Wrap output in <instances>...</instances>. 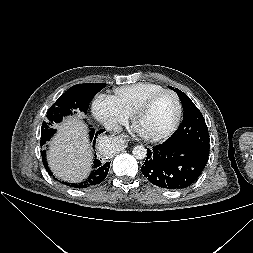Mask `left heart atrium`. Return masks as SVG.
<instances>
[{
    "instance_id": "39dd6f15",
    "label": "left heart atrium",
    "mask_w": 253,
    "mask_h": 253,
    "mask_svg": "<svg viewBox=\"0 0 253 253\" xmlns=\"http://www.w3.org/2000/svg\"><path fill=\"white\" fill-rule=\"evenodd\" d=\"M136 131L139 132V130L136 128ZM140 133V132H139Z\"/></svg>"
}]
</instances>
